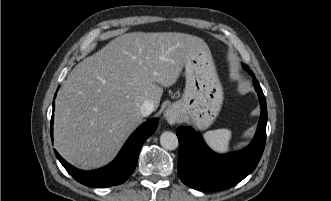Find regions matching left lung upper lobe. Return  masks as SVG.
Here are the masks:
<instances>
[{"label":"left lung upper lobe","mask_w":331,"mask_h":201,"mask_svg":"<svg viewBox=\"0 0 331 201\" xmlns=\"http://www.w3.org/2000/svg\"><path fill=\"white\" fill-rule=\"evenodd\" d=\"M249 71L250 74H253L252 71L250 69H247Z\"/></svg>","instance_id":"left-lung-upper-lobe-1"}]
</instances>
